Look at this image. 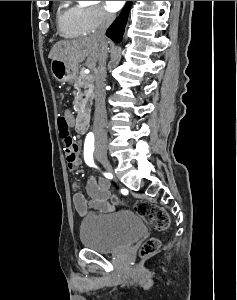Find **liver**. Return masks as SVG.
<instances>
[{
  "instance_id": "obj_1",
  "label": "liver",
  "mask_w": 237,
  "mask_h": 300,
  "mask_svg": "<svg viewBox=\"0 0 237 300\" xmlns=\"http://www.w3.org/2000/svg\"><path fill=\"white\" fill-rule=\"evenodd\" d=\"M101 49L100 41L94 37H83L78 41H58L53 45L48 59H59L68 65H78L86 59L89 69H95Z\"/></svg>"
}]
</instances>
